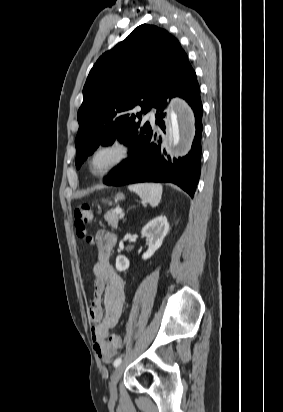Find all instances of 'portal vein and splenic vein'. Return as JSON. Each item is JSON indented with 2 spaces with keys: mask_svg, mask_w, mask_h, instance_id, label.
Here are the masks:
<instances>
[{
  "mask_svg": "<svg viewBox=\"0 0 283 412\" xmlns=\"http://www.w3.org/2000/svg\"><path fill=\"white\" fill-rule=\"evenodd\" d=\"M115 212H116L117 214H120V215L123 214L122 209L119 208V207H117V208L115 209Z\"/></svg>",
  "mask_w": 283,
  "mask_h": 412,
  "instance_id": "obj_1",
  "label": "portal vein and splenic vein"
}]
</instances>
